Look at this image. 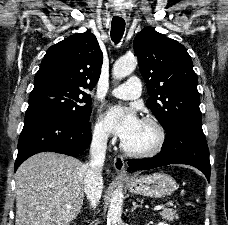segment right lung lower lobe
<instances>
[{
    "label": "right lung lower lobe",
    "mask_w": 228,
    "mask_h": 225,
    "mask_svg": "<svg viewBox=\"0 0 228 225\" xmlns=\"http://www.w3.org/2000/svg\"><path fill=\"white\" fill-rule=\"evenodd\" d=\"M90 142L89 121L81 122L55 113L27 116L18 141L14 171L36 153L51 151L77 156L85 151Z\"/></svg>",
    "instance_id": "obj_1"
}]
</instances>
